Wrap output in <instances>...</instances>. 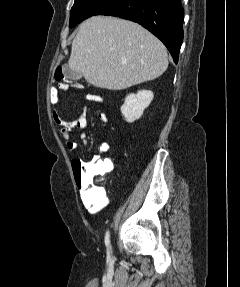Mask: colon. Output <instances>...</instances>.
Masks as SVG:
<instances>
[{
    "instance_id": "colon-1",
    "label": "colon",
    "mask_w": 240,
    "mask_h": 287,
    "mask_svg": "<svg viewBox=\"0 0 240 287\" xmlns=\"http://www.w3.org/2000/svg\"><path fill=\"white\" fill-rule=\"evenodd\" d=\"M55 84L49 91V104L53 113V118L60 114L61 93L67 90L70 86L65 81L63 69L58 67L54 75ZM75 177L77 179L78 188L81 193L89 194L93 189V183L97 176L102 175L111 170L112 164L110 161H100L85 163L81 161H74L72 164Z\"/></svg>"
}]
</instances>
